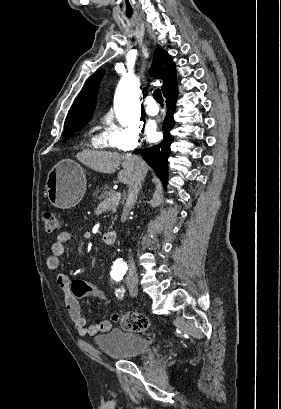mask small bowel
I'll return each instance as SVG.
<instances>
[{"instance_id":"small-bowel-1","label":"small bowel","mask_w":281,"mask_h":409,"mask_svg":"<svg viewBox=\"0 0 281 409\" xmlns=\"http://www.w3.org/2000/svg\"><path fill=\"white\" fill-rule=\"evenodd\" d=\"M71 239V232L61 231L52 242L51 254L47 258L46 265L50 270H58L60 267V257L65 252V246ZM58 286L63 292L64 303L68 316L82 337L95 336L100 332H108L112 328V322L104 319L96 324H87L81 315L79 299L86 296H95L106 301L104 291L96 285L83 280H71L65 273L59 272L56 276Z\"/></svg>"}]
</instances>
